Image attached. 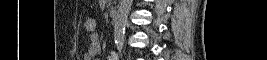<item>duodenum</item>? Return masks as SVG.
<instances>
[{"label":"duodenum","instance_id":"duodenum-1","mask_svg":"<svg viewBox=\"0 0 267 60\" xmlns=\"http://www.w3.org/2000/svg\"><path fill=\"white\" fill-rule=\"evenodd\" d=\"M110 16H111V18H113V19L117 18V16H118V11H117L116 9H111V10H110Z\"/></svg>","mask_w":267,"mask_h":60}]
</instances>
